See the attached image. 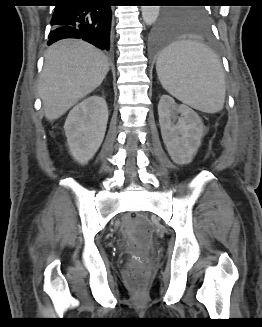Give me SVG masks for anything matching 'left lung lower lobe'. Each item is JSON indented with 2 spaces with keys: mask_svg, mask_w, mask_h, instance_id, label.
Listing matches in <instances>:
<instances>
[{
  "mask_svg": "<svg viewBox=\"0 0 262 327\" xmlns=\"http://www.w3.org/2000/svg\"><path fill=\"white\" fill-rule=\"evenodd\" d=\"M175 26L169 24L164 18L151 31L148 38V48L150 52L157 53L165 50L174 40ZM201 32L208 35V27L202 28Z\"/></svg>",
  "mask_w": 262,
  "mask_h": 327,
  "instance_id": "obj_1",
  "label": "left lung lower lobe"
}]
</instances>
